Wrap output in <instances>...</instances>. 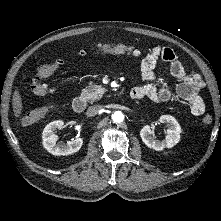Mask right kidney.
I'll use <instances>...</instances> for the list:
<instances>
[{"label": "right kidney", "instance_id": "ca27d5eb", "mask_svg": "<svg viewBox=\"0 0 221 221\" xmlns=\"http://www.w3.org/2000/svg\"><path fill=\"white\" fill-rule=\"evenodd\" d=\"M65 127L63 120H56L48 125L43 130L42 139L44 148L53 155H70L79 151L83 145V139L77 138L67 143L58 142V136L54 134L56 129H62Z\"/></svg>", "mask_w": 221, "mask_h": 221}]
</instances>
